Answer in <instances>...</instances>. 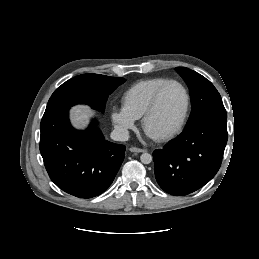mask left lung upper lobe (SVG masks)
<instances>
[{"label":"left lung upper lobe","mask_w":259,"mask_h":259,"mask_svg":"<svg viewBox=\"0 0 259 259\" xmlns=\"http://www.w3.org/2000/svg\"><path fill=\"white\" fill-rule=\"evenodd\" d=\"M176 71L190 89L192 110L186 127L209 117L227 118L221 96L209 80L185 67H177Z\"/></svg>","instance_id":"5c2ea615"}]
</instances>
